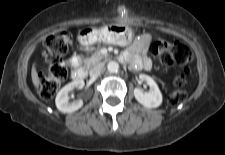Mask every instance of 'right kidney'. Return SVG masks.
<instances>
[{"label": "right kidney", "instance_id": "obj_1", "mask_svg": "<svg viewBox=\"0 0 225 155\" xmlns=\"http://www.w3.org/2000/svg\"><path fill=\"white\" fill-rule=\"evenodd\" d=\"M83 87H84L83 80H75L65 85L56 96L55 103L57 109L63 113H72L80 109L83 106V101L80 99L70 103L69 102L70 97L68 94L75 88L82 89Z\"/></svg>", "mask_w": 225, "mask_h": 155}]
</instances>
